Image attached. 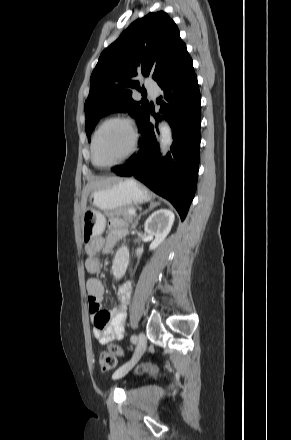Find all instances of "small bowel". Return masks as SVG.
Wrapping results in <instances>:
<instances>
[{
  "mask_svg": "<svg viewBox=\"0 0 291 440\" xmlns=\"http://www.w3.org/2000/svg\"><path fill=\"white\" fill-rule=\"evenodd\" d=\"M128 230L122 221L113 220L107 236H99L86 246L85 267L89 272L96 273L100 270L99 253H108L122 240ZM86 290L90 301L89 311L93 316L94 337L100 345H106L111 340H119L123 335V325L127 316L128 305L132 297V282L124 281L117 288L119 305L110 311L102 310L100 301L104 295V286L97 278H90L86 282ZM108 318L109 323H101V319ZM156 363L145 366L148 371H158Z\"/></svg>",
  "mask_w": 291,
  "mask_h": 440,
  "instance_id": "c3829d8e",
  "label": "small bowel"
}]
</instances>
